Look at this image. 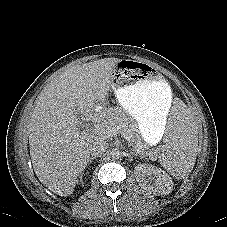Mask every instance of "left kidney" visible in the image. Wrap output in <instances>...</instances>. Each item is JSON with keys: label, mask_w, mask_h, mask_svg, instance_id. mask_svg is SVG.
Masks as SVG:
<instances>
[{"label": "left kidney", "mask_w": 227, "mask_h": 227, "mask_svg": "<svg viewBox=\"0 0 227 227\" xmlns=\"http://www.w3.org/2000/svg\"><path fill=\"white\" fill-rule=\"evenodd\" d=\"M134 174L140 187L154 195H167L173 190L171 177L160 168L138 164Z\"/></svg>", "instance_id": "obj_1"}]
</instances>
